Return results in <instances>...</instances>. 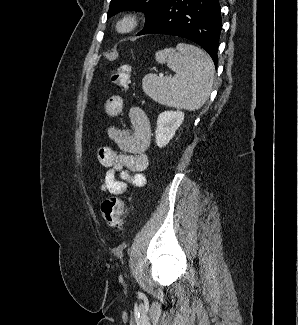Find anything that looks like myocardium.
<instances>
[{"mask_svg":"<svg viewBox=\"0 0 298 325\" xmlns=\"http://www.w3.org/2000/svg\"><path fill=\"white\" fill-rule=\"evenodd\" d=\"M135 28L136 22L133 19H127L118 26V32L121 34H128L134 31Z\"/></svg>","mask_w":298,"mask_h":325,"instance_id":"myocardium-1","label":"myocardium"}]
</instances>
